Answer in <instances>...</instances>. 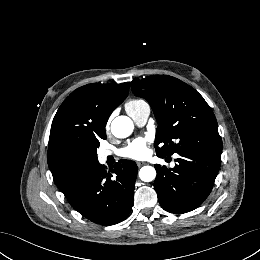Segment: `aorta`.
I'll return each instance as SVG.
<instances>
[{
  "label": "aorta",
  "instance_id": "1",
  "mask_svg": "<svg viewBox=\"0 0 260 260\" xmlns=\"http://www.w3.org/2000/svg\"><path fill=\"white\" fill-rule=\"evenodd\" d=\"M133 121L127 116H118L111 123V132L117 138H126L133 132ZM156 177V170L152 166H143L139 171V178L144 182H151Z\"/></svg>",
  "mask_w": 260,
  "mask_h": 260
}]
</instances>
